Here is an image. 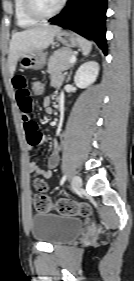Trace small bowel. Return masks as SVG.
Listing matches in <instances>:
<instances>
[{"label":"small bowel","mask_w":134,"mask_h":281,"mask_svg":"<svg viewBox=\"0 0 134 281\" xmlns=\"http://www.w3.org/2000/svg\"><path fill=\"white\" fill-rule=\"evenodd\" d=\"M63 82V76L60 73L52 75L51 83L54 87H58ZM12 87L15 91L17 105L21 111L22 122L26 134L27 145L30 150L41 145L45 138L39 131L37 123L31 118L30 114L33 107L32 92L29 78L22 73L15 74L12 77ZM49 102V98L45 99ZM34 154L32 155V157ZM60 161V147L56 140L53 141V152L48 159V167L45 169L39 168L32 159L28 163L29 171L43 178H51L53 169L57 167Z\"/></svg>","instance_id":"c3829d8e"}]
</instances>
